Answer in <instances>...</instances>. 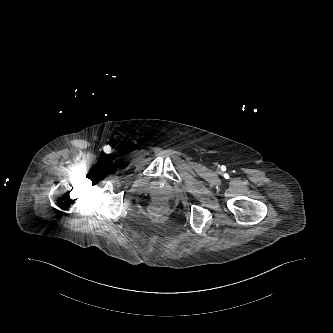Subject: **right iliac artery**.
<instances>
[{
    "label": "right iliac artery",
    "instance_id": "right-iliac-artery-1",
    "mask_svg": "<svg viewBox=\"0 0 333 333\" xmlns=\"http://www.w3.org/2000/svg\"><path fill=\"white\" fill-rule=\"evenodd\" d=\"M103 150H104L105 153H110V151H111V147H110L109 145H105V146L103 147Z\"/></svg>",
    "mask_w": 333,
    "mask_h": 333
}]
</instances>
